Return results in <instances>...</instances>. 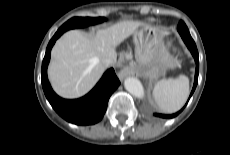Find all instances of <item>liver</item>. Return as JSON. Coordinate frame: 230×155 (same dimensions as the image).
I'll return each instance as SVG.
<instances>
[{"label":"liver","instance_id":"6515ba94","mask_svg":"<svg viewBox=\"0 0 230 155\" xmlns=\"http://www.w3.org/2000/svg\"><path fill=\"white\" fill-rule=\"evenodd\" d=\"M142 25L141 21L123 20L98 30L93 36L79 30L63 34L51 51L48 67V77L55 92L69 99L89 92L105 71L104 59L113 56L115 47Z\"/></svg>","mask_w":230,"mask_h":155}]
</instances>
